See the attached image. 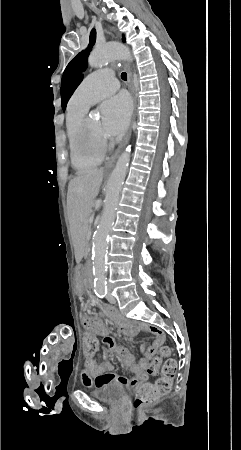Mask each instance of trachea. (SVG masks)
I'll return each mask as SVG.
<instances>
[{
	"label": "trachea",
	"instance_id": "1",
	"mask_svg": "<svg viewBox=\"0 0 241 450\" xmlns=\"http://www.w3.org/2000/svg\"><path fill=\"white\" fill-rule=\"evenodd\" d=\"M121 78H122L123 80H126V79H127V74H126L125 72H123V73L121 74Z\"/></svg>",
	"mask_w": 241,
	"mask_h": 450
}]
</instances>
